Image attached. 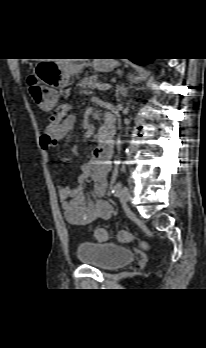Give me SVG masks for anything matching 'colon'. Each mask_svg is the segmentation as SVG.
I'll return each mask as SVG.
<instances>
[{"instance_id":"colon-1","label":"colon","mask_w":206,"mask_h":348,"mask_svg":"<svg viewBox=\"0 0 206 348\" xmlns=\"http://www.w3.org/2000/svg\"><path fill=\"white\" fill-rule=\"evenodd\" d=\"M27 89H28L30 96L35 101L38 100V97L41 95L42 90H43L42 85L40 84L39 80L34 75H30L27 78ZM37 105L41 106L38 101H37ZM56 117H57V112H55L53 114V116L51 117V120L55 121ZM94 236H95L96 240L99 242H105L109 238L108 232L102 228L96 229L94 232ZM118 239L121 242L130 243V242L134 241V236L132 233H130L128 231H121L118 234Z\"/></svg>"}]
</instances>
